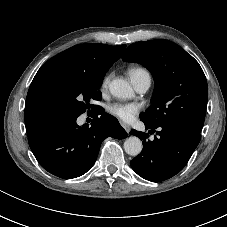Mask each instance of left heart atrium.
Instances as JSON below:
<instances>
[{
    "instance_id": "left-heart-atrium-1",
    "label": "left heart atrium",
    "mask_w": 227,
    "mask_h": 227,
    "mask_svg": "<svg viewBox=\"0 0 227 227\" xmlns=\"http://www.w3.org/2000/svg\"><path fill=\"white\" fill-rule=\"evenodd\" d=\"M139 110L140 105L138 103L116 102L108 107V111L111 115L125 122L131 121Z\"/></svg>"
}]
</instances>
